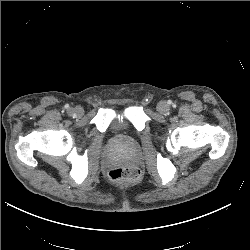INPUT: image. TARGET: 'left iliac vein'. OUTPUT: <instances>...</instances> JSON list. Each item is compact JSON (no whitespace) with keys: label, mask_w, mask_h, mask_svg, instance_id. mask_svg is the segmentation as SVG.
Wrapping results in <instances>:
<instances>
[{"label":"left iliac vein","mask_w":250,"mask_h":250,"mask_svg":"<svg viewBox=\"0 0 250 250\" xmlns=\"http://www.w3.org/2000/svg\"><path fill=\"white\" fill-rule=\"evenodd\" d=\"M169 109V105L165 101H160L157 105V110L162 114H166Z\"/></svg>","instance_id":"obj_1"}]
</instances>
